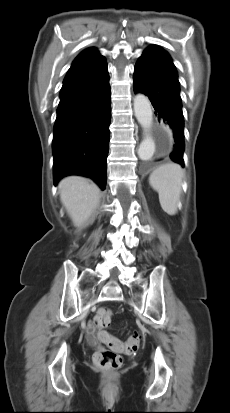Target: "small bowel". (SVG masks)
Instances as JSON below:
<instances>
[{
    "label": "small bowel",
    "instance_id": "obj_1",
    "mask_svg": "<svg viewBox=\"0 0 230 413\" xmlns=\"http://www.w3.org/2000/svg\"><path fill=\"white\" fill-rule=\"evenodd\" d=\"M87 335L92 340L97 339L99 342L108 345H110V339L112 338V336L108 332L99 330L91 321H89L87 324Z\"/></svg>",
    "mask_w": 230,
    "mask_h": 413
}]
</instances>
